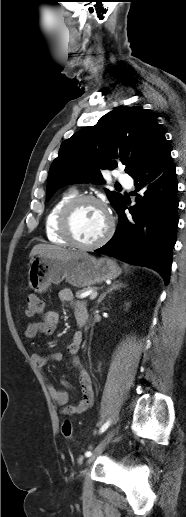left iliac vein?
<instances>
[{
    "instance_id": "1",
    "label": "left iliac vein",
    "mask_w": 186,
    "mask_h": 517,
    "mask_svg": "<svg viewBox=\"0 0 186 517\" xmlns=\"http://www.w3.org/2000/svg\"><path fill=\"white\" fill-rule=\"evenodd\" d=\"M117 428H113L107 435L106 437L100 442V444L97 446L96 450H95V454L91 455L88 459H87V464H91L96 455L100 454L103 452V450L105 449V447L107 446V444L111 441V439L113 438V436L116 434L117 432Z\"/></svg>"
}]
</instances>
